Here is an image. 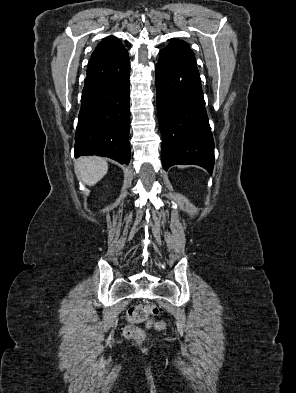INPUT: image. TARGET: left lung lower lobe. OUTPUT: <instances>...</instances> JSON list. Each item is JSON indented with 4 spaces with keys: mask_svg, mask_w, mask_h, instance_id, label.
<instances>
[{
    "mask_svg": "<svg viewBox=\"0 0 296 393\" xmlns=\"http://www.w3.org/2000/svg\"><path fill=\"white\" fill-rule=\"evenodd\" d=\"M155 66L162 165L194 164L212 173L214 141L194 57L159 52Z\"/></svg>",
    "mask_w": 296,
    "mask_h": 393,
    "instance_id": "obj_1",
    "label": "left lung lower lobe"
}]
</instances>
